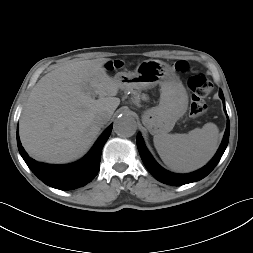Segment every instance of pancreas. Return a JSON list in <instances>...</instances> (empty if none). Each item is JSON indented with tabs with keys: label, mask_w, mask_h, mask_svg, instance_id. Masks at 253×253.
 I'll list each match as a JSON object with an SVG mask.
<instances>
[{
	"label": "pancreas",
	"mask_w": 253,
	"mask_h": 253,
	"mask_svg": "<svg viewBox=\"0 0 253 253\" xmlns=\"http://www.w3.org/2000/svg\"><path fill=\"white\" fill-rule=\"evenodd\" d=\"M140 98L142 100H146L147 99L146 95H144V94H142V95L137 94L136 97H135V100L138 102L140 100Z\"/></svg>",
	"instance_id": "pancreas-1"
}]
</instances>
